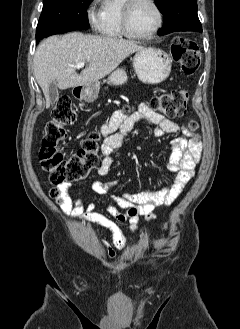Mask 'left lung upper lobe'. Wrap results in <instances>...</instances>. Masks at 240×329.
Instances as JSON below:
<instances>
[{
	"instance_id": "left-lung-upper-lobe-1",
	"label": "left lung upper lobe",
	"mask_w": 240,
	"mask_h": 329,
	"mask_svg": "<svg viewBox=\"0 0 240 329\" xmlns=\"http://www.w3.org/2000/svg\"><path fill=\"white\" fill-rule=\"evenodd\" d=\"M163 14V28L158 35L174 31H199L202 26L197 15V0H155Z\"/></svg>"
}]
</instances>
